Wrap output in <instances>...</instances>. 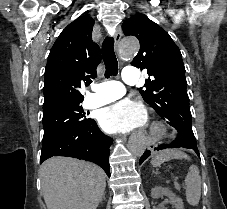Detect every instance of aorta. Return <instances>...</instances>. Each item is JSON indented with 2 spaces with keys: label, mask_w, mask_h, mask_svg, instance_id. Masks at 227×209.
Returning <instances> with one entry per match:
<instances>
[{
  "label": "aorta",
  "mask_w": 227,
  "mask_h": 209,
  "mask_svg": "<svg viewBox=\"0 0 227 209\" xmlns=\"http://www.w3.org/2000/svg\"><path fill=\"white\" fill-rule=\"evenodd\" d=\"M139 50V42L134 37L125 38L120 42L119 55L121 58L134 56ZM145 149V143L142 139L133 140L130 144V152L135 157H140Z\"/></svg>",
  "instance_id": "762f6f07"
}]
</instances>
